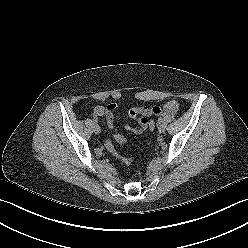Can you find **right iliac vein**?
<instances>
[{
    "instance_id": "obj_1",
    "label": "right iliac vein",
    "mask_w": 248,
    "mask_h": 248,
    "mask_svg": "<svg viewBox=\"0 0 248 248\" xmlns=\"http://www.w3.org/2000/svg\"><path fill=\"white\" fill-rule=\"evenodd\" d=\"M93 131H94L95 134H99L101 132L100 126L99 125H95L93 127Z\"/></svg>"
}]
</instances>
